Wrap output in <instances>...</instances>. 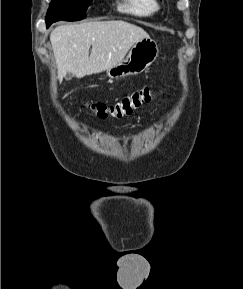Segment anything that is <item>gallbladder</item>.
Masks as SVG:
<instances>
[{
    "instance_id": "gallbladder-1",
    "label": "gallbladder",
    "mask_w": 243,
    "mask_h": 289,
    "mask_svg": "<svg viewBox=\"0 0 243 289\" xmlns=\"http://www.w3.org/2000/svg\"><path fill=\"white\" fill-rule=\"evenodd\" d=\"M72 78H73V74H72V73H67V74L65 75V79H66L67 81L71 80Z\"/></svg>"
}]
</instances>
